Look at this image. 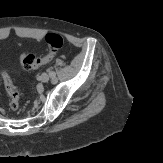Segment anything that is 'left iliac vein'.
I'll return each instance as SVG.
<instances>
[{
    "label": "left iliac vein",
    "mask_w": 163,
    "mask_h": 163,
    "mask_svg": "<svg viewBox=\"0 0 163 163\" xmlns=\"http://www.w3.org/2000/svg\"><path fill=\"white\" fill-rule=\"evenodd\" d=\"M39 80H40L41 82L46 83V82L49 81V75H48L47 73H42V74L40 75V77H39Z\"/></svg>",
    "instance_id": "1"
}]
</instances>
